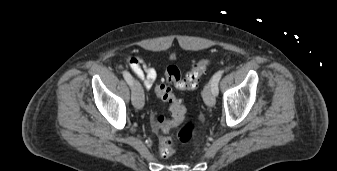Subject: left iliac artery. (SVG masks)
<instances>
[{
	"instance_id": "44dca946",
	"label": "left iliac artery",
	"mask_w": 337,
	"mask_h": 171,
	"mask_svg": "<svg viewBox=\"0 0 337 171\" xmlns=\"http://www.w3.org/2000/svg\"><path fill=\"white\" fill-rule=\"evenodd\" d=\"M223 73H224V71L220 70V71L216 72L211 78L210 84H211L212 92H213L214 95H218V91H219L218 90V83H219V80L221 79Z\"/></svg>"
}]
</instances>
